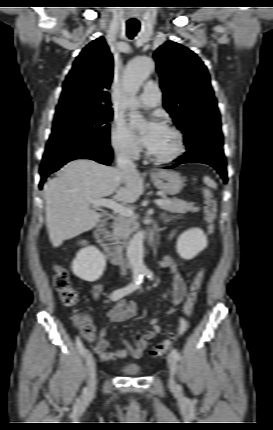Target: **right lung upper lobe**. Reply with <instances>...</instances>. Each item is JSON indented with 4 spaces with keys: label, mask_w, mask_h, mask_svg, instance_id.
<instances>
[{
    "label": "right lung upper lobe",
    "mask_w": 273,
    "mask_h": 430,
    "mask_svg": "<svg viewBox=\"0 0 273 430\" xmlns=\"http://www.w3.org/2000/svg\"><path fill=\"white\" fill-rule=\"evenodd\" d=\"M113 58L103 37L89 43L67 75L58 108L80 105L110 109Z\"/></svg>",
    "instance_id": "obj_1"
}]
</instances>
